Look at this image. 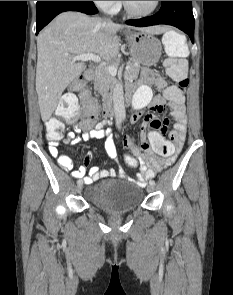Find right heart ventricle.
<instances>
[{"label":"right heart ventricle","instance_id":"obj_1","mask_svg":"<svg viewBox=\"0 0 233 295\" xmlns=\"http://www.w3.org/2000/svg\"><path fill=\"white\" fill-rule=\"evenodd\" d=\"M119 9V5H118V7H117V9L116 10H118Z\"/></svg>","mask_w":233,"mask_h":295}]
</instances>
